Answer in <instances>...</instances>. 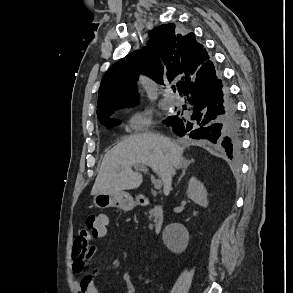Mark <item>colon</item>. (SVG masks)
<instances>
[{"instance_id":"obj_1","label":"colon","mask_w":293,"mask_h":293,"mask_svg":"<svg viewBox=\"0 0 293 293\" xmlns=\"http://www.w3.org/2000/svg\"><path fill=\"white\" fill-rule=\"evenodd\" d=\"M107 226V217L102 214H89L85 218V227L97 236L104 232Z\"/></svg>"}]
</instances>
